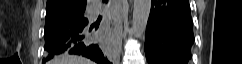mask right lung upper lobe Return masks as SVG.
Here are the masks:
<instances>
[{"instance_id":"1","label":"right lung upper lobe","mask_w":242,"mask_h":64,"mask_svg":"<svg viewBox=\"0 0 242 64\" xmlns=\"http://www.w3.org/2000/svg\"><path fill=\"white\" fill-rule=\"evenodd\" d=\"M87 0H47L46 13L76 10L86 6Z\"/></svg>"}]
</instances>
